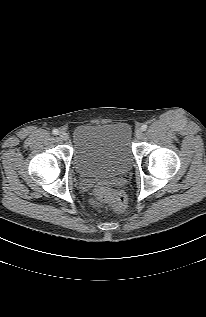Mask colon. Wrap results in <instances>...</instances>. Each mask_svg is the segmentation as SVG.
I'll list each match as a JSON object with an SVG mask.
<instances>
[{"instance_id": "5ec220e1", "label": "colon", "mask_w": 206, "mask_h": 317, "mask_svg": "<svg viewBox=\"0 0 206 317\" xmlns=\"http://www.w3.org/2000/svg\"><path fill=\"white\" fill-rule=\"evenodd\" d=\"M92 202L98 206L111 205L122 211L126 208V198L123 194L105 185H96L91 189Z\"/></svg>"}]
</instances>
